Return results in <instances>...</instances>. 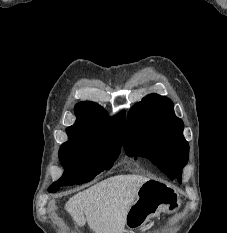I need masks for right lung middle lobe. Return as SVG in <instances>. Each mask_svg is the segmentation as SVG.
<instances>
[{"label":"right lung middle lobe","mask_w":227,"mask_h":233,"mask_svg":"<svg viewBox=\"0 0 227 233\" xmlns=\"http://www.w3.org/2000/svg\"><path fill=\"white\" fill-rule=\"evenodd\" d=\"M121 146L122 141L116 137L97 142L69 139L59 150L60 161L66 169L64 175L48 191L55 193L61 186L87 182L102 171L110 169Z\"/></svg>","instance_id":"1"}]
</instances>
